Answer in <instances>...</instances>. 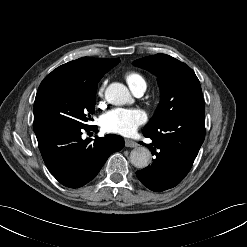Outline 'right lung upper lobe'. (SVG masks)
<instances>
[{
    "label": "right lung upper lobe",
    "instance_id": "right-lung-upper-lobe-1",
    "mask_svg": "<svg viewBox=\"0 0 247 247\" xmlns=\"http://www.w3.org/2000/svg\"><path fill=\"white\" fill-rule=\"evenodd\" d=\"M119 61V58H79L53 70L44 78L39 88L49 85H68L97 90V84L103 75L117 65Z\"/></svg>",
    "mask_w": 247,
    "mask_h": 247
}]
</instances>
